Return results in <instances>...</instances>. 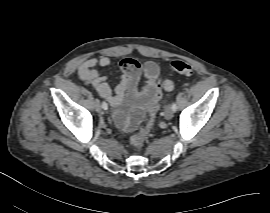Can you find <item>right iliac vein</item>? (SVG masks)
<instances>
[{"mask_svg":"<svg viewBox=\"0 0 270 213\" xmlns=\"http://www.w3.org/2000/svg\"><path fill=\"white\" fill-rule=\"evenodd\" d=\"M93 106H94V108H95L96 111L100 112V110H101V104H100V102H99L98 99H95L94 100Z\"/></svg>","mask_w":270,"mask_h":213,"instance_id":"63e3f726","label":"right iliac vein"}]
</instances>
